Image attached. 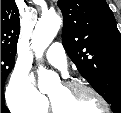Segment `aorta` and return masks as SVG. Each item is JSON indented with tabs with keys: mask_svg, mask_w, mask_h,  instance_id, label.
Wrapping results in <instances>:
<instances>
[{
	"mask_svg": "<svg viewBox=\"0 0 121 113\" xmlns=\"http://www.w3.org/2000/svg\"><path fill=\"white\" fill-rule=\"evenodd\" d=\"M61 22V18L56 13L43 14L38 20L31 40L36 57H42L44 51L57 35ZM38 77L39 89L44 92L48 89V85L56 78V75L40 66Z\"/></svg>",
	"mask_w": 121,
	"mask_h": 113,
	"instance_id": "aorta-1",
	"label": "aorta"
}]
</instances>
